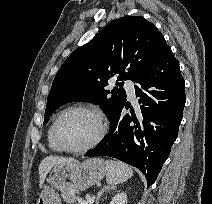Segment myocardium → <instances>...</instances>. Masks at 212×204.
<instances>
[{
    "mask_svg": "<svg viewBox=\"0 0 212 204\" xmlns=\"http://www.w3.org/2000/svg\"><path fill=\"white\" fill-rule=\"evenodd\" d=\"M74 111H82V112H87L89 114H92L96 118L99 125L98 133L96 134L94 139L87 145L83 147H79V148H72L65 145L59 134V125L62 118L66 114L70 112H74ZM107 130H108V124H107V119L105 114L100 109L96 107H92V106H87V105H74L62 110L57 116V118L55 119L53 124V136L58 146L63 151H66L69 153H76V154L88 152L92 150L93 148H95L96 146H98L102 142L104 137L106 136Z\"/></svg>",
    "mask_w": 212,
    "mask_h": 204,
    "instance_id": "1",
    "label": "myocardium"
}]
</instances>
